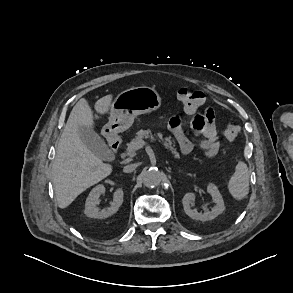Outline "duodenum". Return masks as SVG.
I'll return each mask as SVG.
<instances>
[{
  "label": "duodenum",
  "mask_w": 293,
  "mask_h": 293,
  "mask_svg": "<svg viewBox=\"0 0 293 293\" xmlns=\"http://www.w3.org/2000/svg\"><path fill=\"white\" fill-rule=\"evenodd\" d=\"M109 147L111 152L116 155L121 147V141L117 138H113L110 140Z\"/></svg>",
  "instance_id": "duodenum-1"
}]
</instances>
